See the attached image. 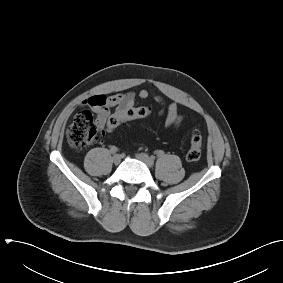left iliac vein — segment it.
<instances>
[{
    "label": "left iliac vein",
    "mask_w": 283,
    "mask_h": 283,
    "mask_svg": "<svg viewBox=\"0 0 283 283\" xmlns=\"http://www.w3.org/2000/svg\"><path fill=\"white\" fill-rule=\"evenodd\" d=\"M136 157H137L140 161L144 162L149 168L153 167V165H154V160H153L151 157H149L147 154H145V153H138V154L136 155Z\"/></svg>",
    "instance_id": "4c4485c4"
}]
</instances>
